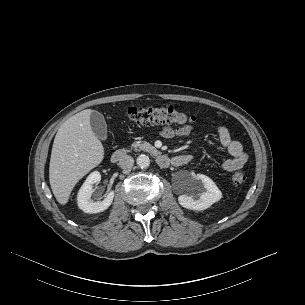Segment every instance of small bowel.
<instances>
[{"instance_id": "c3829d8e", "label": "small bowel", "mask_w": 305, "mask_h": 305, "mask_svg": "<svg viewBox=\"0 0 305 305\" xmlns=\"http://www.w3.org/2000/svg\"><path fill=\"white\" fill-rule=\"evenodd\" d=\"M221 146L227 150L231 158L222 162L221 167L227 172H233L241 169L248 160V154L244 150L242 144L231 138L228 129L225 126L219 125L216 127ZM160 135L165 139L175 137L194 136L195 132L190 125L174 127L172 125H164L160 130ZM195 159L194 154H181L172 158L174 166H182L188 164Z\"/></svg>"}]
</instances>
